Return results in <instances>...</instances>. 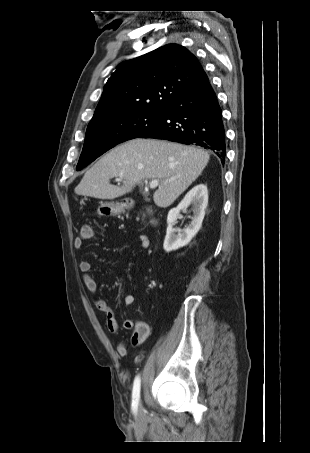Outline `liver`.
Returning <instances> with one entry per match:
<instances>
[{
	"mask_svg": "<svg viewBox=\"0 0 310 453\" xmlns=\"http://www.w3.org/2000/svg\"><path fill=\"white\" fill-rule=\"evenodd\" d=\"M209 161L203 149L164 140L136 138L104 155L83 176L77 195L115 199L133 190L143 180L157 179L154 203L170 206L202 173ZM118 177L121 186L110 184Z\"/></svg>",
	"mask_w": 310,
	"mask_h": 453,
	"instance_id": "1",
	"label": "liver"
}]
</instances>
